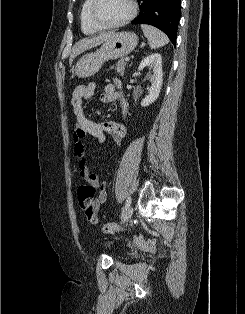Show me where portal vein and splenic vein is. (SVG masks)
Masks as SVG:
<instances>
[{"instance_id":"obj_1","label":"portal vein and splenic vein","mask_w":245,"mask_h":314,"mask_svg":"<svg viewBox=\"0 0 245 314\" xmlns=\"http://www.w3.org/2000/svg\"><path fill=\"white\" fill-rule=\"evenodd\" d=\"M129 60H130V58H129V57H126V58H125V61H129Z\"/></svg>"}]
</instances>
